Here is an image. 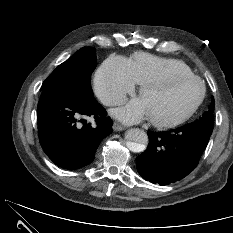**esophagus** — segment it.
Wrapping results in <instances>:
<instances>
[{"label":"esophagus","mask_w":233,"mask_h":233,"mask_svg":"<svg viewBox=\"0 0 233 233\" xmlns=\"http://www.w3.org/2000/svg\"><path fill=\"white\" fill-rule=\"evenodd\" d=\"M124 129H125L124 126L120 125V124L117 123V122H114V124H113V130H114V131H122V130H124Z\"/></svg>","instance_id":"esophagus-1"}]
</instances>
